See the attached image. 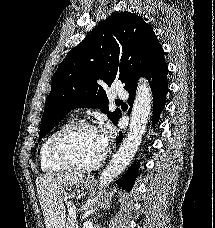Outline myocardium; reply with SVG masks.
<instances>
[{"instance_id":"1","label":"myocardium","mask_w":215,"mask_h":228,"mask_svg":"<svg viewBox=\"0 0 215 228\" xmlns=\"http://www.w3.org/2000/svg\"><path fill=\"white\" fill-rule=\"evenodd\" d=\"M89 129L97 130L96 127L88 122H75L71 123L65 128H63L58 134L53 138L49 147V158L50 161L58 168L62 170L78 171V172H89L99 168L105 161L107 157V150L103 152L101 157L94 163L88 165H75L68 162L61 153V148L64 141L70 137L72 134L79 130Z\"/></svg>"}]
</instances>
